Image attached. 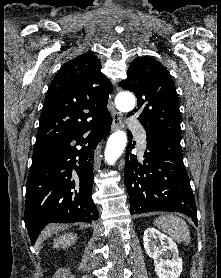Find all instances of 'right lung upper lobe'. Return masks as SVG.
I'll return each mask as SVG.
<instances>
[{
  "label": "right lung upper lobe",
  "instance_id": "obj_1",
  "mask_svg": "<svg viewBox=\"0 0 221 278\" xmlns=\"http://www.w3.org/2000/svg\"><path fill=\"white\" fill-rule=\"evenodd\" d=\"M112 90L94 54L85 53L65 63L45 97L35 149L78 126L109 116L107 101Z\"/></svg>",
  "mask_w": 221,
  "mask_h": 278
}]
</instances>
